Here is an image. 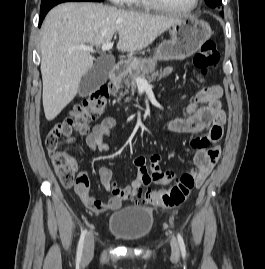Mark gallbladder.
<instances>
[{
	"label": "gallbladder",
	"mask_w": 265,
	"mask_h": 269,
	"mask_svg": "<svg viewBox=\"0 0 265 269\" xmlns=\"http://www.w3.org/2000/svg\"><path fill=\"white\" fill-rule=\"evenodd\" d=\"M112 66L113 64H107L104 60H98L82 77L78 88L79 96L85 97L98 90L106 82Z\"/></svg>",
	"instance_id": "1"
}]
</instances>
